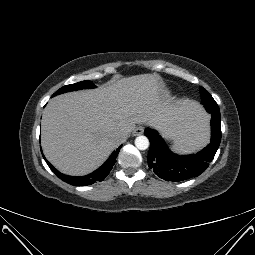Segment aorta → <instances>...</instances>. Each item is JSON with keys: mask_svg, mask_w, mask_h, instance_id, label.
Masks as SVG:
<instances>
[{"mask_svg": "<svg viewBox=\"0 0 255 255\" xmlns=\"http://www.w3.org/2000/svg\"><path fill=\"white\" fill-rule=\"evenodd\" d=\"M135 146L139 150H146L149 147V139L146 136L140 135L135 139Z\"/></svg>", "mask_w": 255, "mask_h": 255, "instance_id": "aorta-1", "label": "aorta"}]
</instances>
